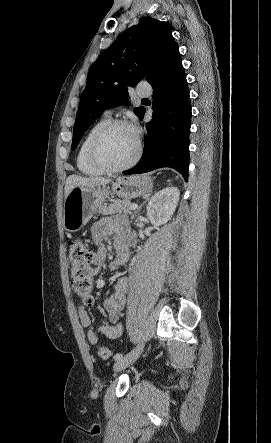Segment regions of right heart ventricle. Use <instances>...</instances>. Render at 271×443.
<instances>
[{
	"instance_id": "e07e8e85",
	"label": "right heart ventricle",
	"mask_w": 271,
	"mask_h": 443,
	"mask_svg": "<svg viewBox=\"0 0 271 443\" xmlns=\"http://www.w3.org/2000/svg\"><path fill=\"white\" fill-rule=\"evenodd\" d=\"M110 120V117L104 116L97 120L86 132L76 152L75 164L77 169L84 175L97 177L104 172L96 167L89 158L90 144L97 132Z\"/></svg>"
}]
</instances>
